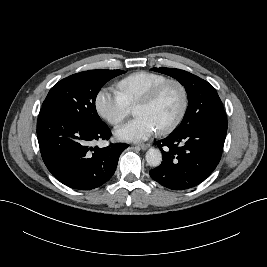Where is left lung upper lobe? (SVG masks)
<instances>
[{
  "mask_svg": "<svg viewBox=\"0 0 267 267\" xmlns=\"http://www.w3.org/2000/svg\"><path fill=\"white\" fill-rule=\"evenodd\" d=\"M153 70L175 78L187 91L188 107L181 124L174 132L184 131L202 123L211 114H221L226 118L215 88L207 81L180 69L161 67Z\"/></svg>",
  "mask_w": 267,
  "mask_h": 267,
  "instance_id": "1",
  "label": "left lung upper lobe"
}]
</instances>
